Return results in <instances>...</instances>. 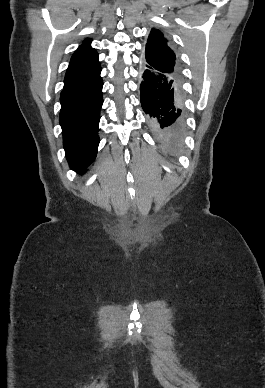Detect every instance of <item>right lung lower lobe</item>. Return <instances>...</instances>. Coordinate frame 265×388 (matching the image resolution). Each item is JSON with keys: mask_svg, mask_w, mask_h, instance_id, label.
Returning a JSON list of instances; mask_svg holds the SVG:
<instances>
[{"mask_svg": "<svg viewBox=\"0 0 265 388\" xmlns=\"http://www.w3.org/2000/svg\"><path fill=\"white\" fill-rule=\"evenodd\" d=\"M102 87L99 73L84 81L64 84L61 92L63 144L69 165L76 172H83L97 154Z\"/></svg>", "mask_w": 265, "mask_h": 388, "instance_id": "98d812e1", "label": "right lung lower lobe"}]
</instances>
